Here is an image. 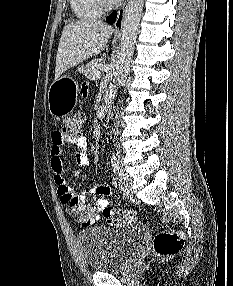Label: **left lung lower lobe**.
<instances>
[{
  "label": "left lung lower lobe",
  "mask_w": 233,
  "mask_h": 286,
  "mask_svg": "<svg viewBox=\"0 0 233 286\" xmlns=\"http://www.w3.org/2000/svg\"><path fill=\"white\" fill-rule=\"evenodd\" d=\"M117 18V13L116 12H113L112 14H110L107 18H106V21L109 22V23H114L115 20Z\"/></svg>",
  "instance_id": "0a47b994"
}]
</instances>
